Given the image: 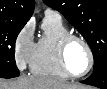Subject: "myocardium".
<instances>
[{
  "label": "myocardium",
  "instance_id": "f54148a6",
  "mask_svg": "<svg viewBox=\"0 0 107 89\" xmlns=\"http://www.w3.org/2000/svg\"><path fill=\"white\" fill-rule=\"evenodd\" d=\"M73 40H77V41L81 42L84 45V47L88 53V56H89L88 67L81 74H73L72 72H70L68 65H67V61H66L67 48H68L70 42ZM57 52H58V59H59V63L61 65V67H62L63 71L67 74V76L70 78H81V77L87 75L94 66L93 51H92L89 43L86 41V39L78 34L70 33V32L64 34L59 39L58 46H57Z\"/></svg>",
  "mask_w": 107,
  "mask_h": 89
}]
</instances>
